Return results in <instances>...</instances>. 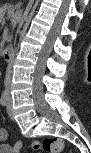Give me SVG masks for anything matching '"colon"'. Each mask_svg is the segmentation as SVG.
I'll return each mask as SVG.
<instances>
[{
	"instance_id": "obj_1",
	"label": "colon",
	"mask_w": 91,
	"mask_h": 153,
	"mask_svg": "<svg viewBox=\"0 0 91 153\" xmlns=\"http://www.w3.org/2000/svg\"><path fill=\"white\" fill-rule=\"evenodd\" d=\"M15 149L18 150L21 146L19 141L14 144ZM34 150H42L46 153H61L65 151V143L62 139L57 137H48L42 141H35L33 143Z\"/></svg>"
}]
</instances>
